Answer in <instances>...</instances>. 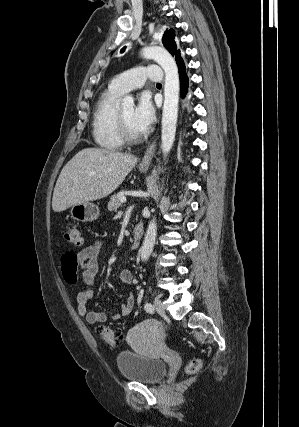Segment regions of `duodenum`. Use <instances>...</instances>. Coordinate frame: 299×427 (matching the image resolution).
<instances>
[{
    "label": "duodenum",
    "instance_id": "obj_1",
    "mask_svg": "<svg viewBox=\"0 0 299 427\" xmlns=\"http://www.w3.org/2000/svg\"><path fill=\"white\" fill-rule=\"evenodd\" d=\"M143 235V226L141 224H136L133 228V244L132 249H137L140 245Z\"/></svg>",
    "mask_w": 299,
    "mask_h": 427
}]
</instances>
